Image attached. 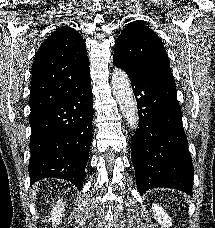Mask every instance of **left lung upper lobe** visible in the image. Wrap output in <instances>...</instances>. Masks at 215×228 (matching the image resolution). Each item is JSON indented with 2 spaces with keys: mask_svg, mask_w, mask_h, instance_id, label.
I'll return each mask as SVG.
<instances>
[{
  "mask_svg": "<svg viewBox=\"0 0 215 228\" xmlns=\"http://www.w3.org/2000/svg\"><path fill=\"white\" fill-rule=\"evenodd\" d=\"M113 60L137 74L171 73L163 43L140 21L130 22L123 29L115 42Z\"/></svg>",
  "mask_w": 215,
  "mask_h": 228,
  "instance_id": "obj_1",
  "label": "left lung upper lobe"
}]
</instances>
